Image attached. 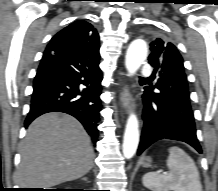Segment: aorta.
Wrapping results in <instances>:
<instances>
[{
    "instance_id": "obj_1",
    "label": "aorta",
    "mask_w": 218,
    "mask_h": 191,
    "mask_svg": "<svg viewBox=\"0 0 218 191\" xmlns=\"http://www.w3.org/2000/svg\"><path fill=\"white\" fill-rule=\"evenodd\" d=\"M148 54V47L145 41L134 40L128 47L125 66L129 76H133L140 68ZM139 144V123L137 116L131 113L127 119L123 140V155L130 159L136 153Z\"/></svg>"
}]
</instances>
